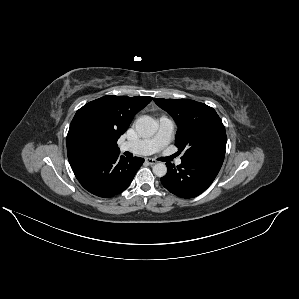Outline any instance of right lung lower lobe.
Returning a JSON list of instances; mask_svg holds the SVG:
<instances>
[{
  "instance_id": "98d812e1",
  "label": "right lung lower lobe",
  "mask_w": 299,
  "mask_h": 299,
  "mask_svg": "<svg viewBox=\"0 0 299 299\" xmlns=\"http://www.w3.org/2000/svg\"><path fill=\"white\" fill-rule=\"evenodd\" d=\"M144 162L143 158L125 159L119 153L97 154L75 160L70 166L80 184L90 193L113 197L124 191Z\"/></svg>"
}]
</instances>
